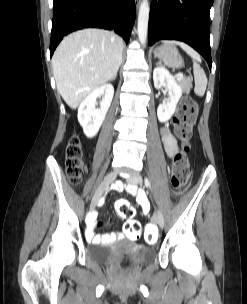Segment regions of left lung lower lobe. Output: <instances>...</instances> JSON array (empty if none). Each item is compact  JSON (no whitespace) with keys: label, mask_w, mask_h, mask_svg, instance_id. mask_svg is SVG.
I'll use <instances>...</instances> for the list:
<instances>
[{"label":"left lung lower lobe","mask_w":247,"mask_h":304,"mask_svg":"<svg viewBox=\"0 0 247 304\" xmlns=\"http://www.w3.org/2000/svg\"><path fill=\"white\" fill-rule=\"evenodd\" d=\"M214 0H159L150 9L148 43L179 40L197 50L211 70L210 8Z\"/></svg>","instance_id":"left-lung-lower-lobe-1"}]
</instances>
